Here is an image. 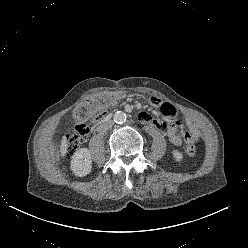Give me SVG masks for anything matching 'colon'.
<instances>
[{
	"instance_id": "colon-1",
	"label": "colon",
	"mask_w": 248,
	"mask_h": 248,
	"mask_svg": "<svg viewBox=\"0 0 248 248\" xmlns=\"http://www.w3.org/2000/svg\"><path fill=\"white\" fill-rule=\"evenodd\" d=\"M117 97L118 95L116 93H102L82 102L75 108L73 112L74 134L67 136L65 141V152L67 156L74 155L83 142L84 137L88 135L90 131L88 121L95 114L110 107L116 101ZM197 152V143L194 141L190 142L187 146V153L193 156Z\"/></svg>"
}]
</instances>
